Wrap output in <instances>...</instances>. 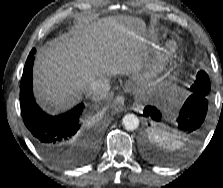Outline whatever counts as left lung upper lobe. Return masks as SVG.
Masks as SVG:
<instances>
[{"instance_id": "1", "label": "left lung upper lobe", "mask_w": 223, "mask_h": 188, "mask_svg": "<svg viewBox=\"0 0 223 188\" xmlns=\"http://www.w3.org/2000/svg\"><path fill=\"white\" fill-rule=\"evenodd\" d=\"M191 91L199 96L208 97L210 92V80L205 71L198 72ZM146 135L154 142L153 145L145 147V156L159 164H167L178 159L184 154L190 145L177 135L168 133L161 127L156 126L146 129Z\"/></svg>"}]
</instances>
